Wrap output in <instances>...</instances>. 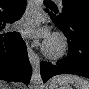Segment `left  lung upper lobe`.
Returning a JSON list of instances; mask_svg holds the SVG:
<instances>
[{
	"mask_svg": "<svg viewBox=\"0 0 89 89\" xmlns=\"http://www.w3.org/2000/svg\"><path fill=\"white\" fill-rule=\"evenodd\" d=\"M74 12H89V0H63L62 17Z\"/></svg>",
	"mask_w": 89,
	"mask_h": 89,
	"instance_id": "1",
	"label": "left lung upper lobe"
}]
</instances>
